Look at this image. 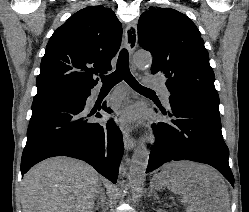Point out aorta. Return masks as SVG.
I'll list each match as a JSON object with an SVG mask.
<instances>
[{"mask_svg": "<svg viewBox=\"0 0 249 212\" xmlns=\"http://www.w3.org/2000/svg\"><path fill=\"white\" fill-rule=\"evenodd\" d=\"M135 66L141 70H145L152 64V56L145 51H137L133 56ZM149 153L144 146H139L132 156L129 169V185L133 189H137L143 178L148 165Z\"/></svg>", "mask_w": 249, "mask_h": 212, "instance_id": "aorta-1", "label": "aorta"}]
</instances>
